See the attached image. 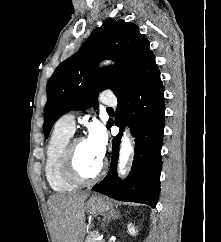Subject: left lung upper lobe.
Masks as SVG:
<instances>
[{
	"mask_svg": "<svg viewBox=\"0 0 221 242\" xmlns=\"http://www.w3.org/2000/svg\"><path fill=\"white\" fill-rule=\"evenodd\" d=\"M105 58L117 61L116 66L99 69L98 62ZM154 65L155 56L149 48V41L139 28L131 22L108 19L50 77L47 83L45 137L63 114L91 106L96 109L99 91L111 89L116 95Z\"/></svg>",
	"mask_w": 221,
	"mask_h": 242,
	"instance_id": "obj_1",
	"label": "left lung upper lobe"
}]
</instances>
